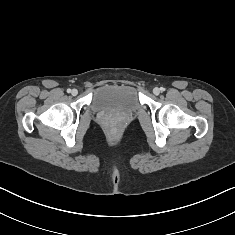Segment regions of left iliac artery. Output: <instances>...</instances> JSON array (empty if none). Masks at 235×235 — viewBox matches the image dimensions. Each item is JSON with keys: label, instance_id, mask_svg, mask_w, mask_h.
<instances>
[{"label": "left iliac artery", "instance_id": "obj_1", "mask_svg": "<svg viewBox=\"0 0 235 235\" xmlns=\"http://www.w3.org/2000/svg\"><path fill=\"white\" fill-rule=\"evenodd\" d=\"M160 90L163 92L165 90V88L161 87Z\"/></svg>", "mask_w": 235, "mask_h": 235}]
</instances>
